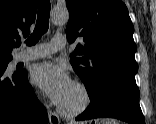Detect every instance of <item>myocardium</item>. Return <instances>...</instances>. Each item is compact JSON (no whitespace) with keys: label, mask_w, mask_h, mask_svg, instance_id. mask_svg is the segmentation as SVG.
<instances>
[{"label":"myocardium","mask_w":156,"mask_h":124,"mask_svg":"<svg viewBox=\"0 0 156 124\" xmlns=\"http://www.w3.org/2000/svg\"><path fill=\"white\" fill-rule=\"evenodd\" d=\"M72 83L80 90L83 97V101L80 106H78L73 110H68L58 105L57 106L58 112L66 118L79 117L80 115L84 114L90 109L93 102L91 91L89 90L88 86L85 83L79 80H74Z\"/></svg>","instance_id":"myocardium-1"}]
</instances>
